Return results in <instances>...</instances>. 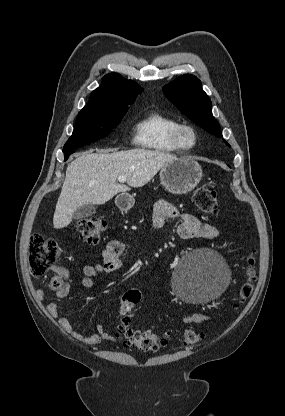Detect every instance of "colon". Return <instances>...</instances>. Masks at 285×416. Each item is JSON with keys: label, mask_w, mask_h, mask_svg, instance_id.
I'll list each match as a JSON object with an SVG mask.
<instances>
[{"label": "colon", "mask_w": 285, "mask_h": 416, "mask_svg": "<svg viewBox=\"0 0 285 416\" xmlns=\"http://www.w3.org/2000/svg\"><path fill=\"white\" fill-rule=\"evenodd\" d=\"M193 202L197 209L204 213L213 214L218 210V200L215 188L211 184H204L193 192ZM106 228V222L100 217H86L79 220L76 229L82 238L91 245L99 242L102 232ZM29 269L33 276H43L49 269H53L56 275L52 278L50 286L58 290L64 280L61 268L55 266L60 256L61 249L57 242L45 238L41 234H34L30 239ZM254 258H248L247 279L239 289L241 299L250 297L253 291L255 279ZM141 293L137 289H130L124 293L121 299L117 335L124 345L134 347L143 352L157 351L166 347L170 338L150 331L134 330L130 327V318L138 303ZM202 339V334L193 329H186L182 334L184 345H193Z\"/></svg>", "instance_id": "obj_1"}]
</instances>
